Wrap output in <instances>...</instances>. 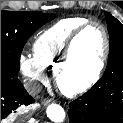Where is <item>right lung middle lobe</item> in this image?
<instances>
[{
  "label": "right lung middle lobe",
  "instance_id": "1",
  "mask_svg": "<svg viewBox=\"0 0 123 123\" xmlns=\"http://www.w3.org/2000/svg\"><path fill=\"white\" fill-rule=\"evenodd\" d=\"M56 16L39 11H1V77L14 78L27 40Z\"/></svg>",
  "mask_w": 123,
  "mask_h": 123
}]
</instances>
